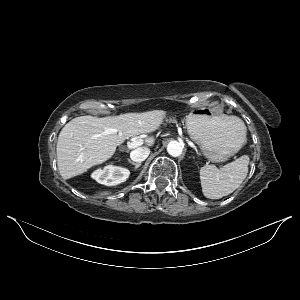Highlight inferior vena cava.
Returning a JSON list of instances; mask_svg holds the SVG:
<instances>
[{
    "label": "inferior vena cava",
    "instance_id": "obj_1",
    "mask_svg": "<svg viewBox=\"0 0 300 300\" xmlns=\"http://www.w3.org/2000/svg\"><path fill=\"white\" fill-rule=\"evenodd\" d=\"M149 154L150 149L148 147H140L130 153V158L135 162H142L149 156Z\"/></svg>",
    "mask_w": 300,
    "mask_h": 300
}]
</instances>
